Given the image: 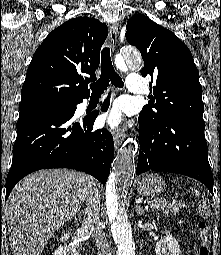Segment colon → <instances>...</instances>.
I'll list each match as a JSON object with an SVG mask.
<instances>
[{
  "instance_id": "obj_1",
  "label": "colon",
  "mask_w": 221,
  "mask_h": 255,
  "mask_svg": "<svg viewBox=\"0 0 221 255\" xmlns=\"http://www.w3.org/2000/svg\"><path fill=\"white\" fill-rule=\"evenodd\" d=\"M198 249L197 255H210L211 230L207 220L211 214L210 203L207 199H201L198 203Z\"/></svg>"
}]
</instances>
